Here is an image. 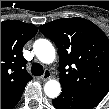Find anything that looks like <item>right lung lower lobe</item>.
Masks as SVG:
<instances>
[{
    "label": "right lung lower lobe",
    "instance_id": "98d812e1",
    "mask_svg": "<svg viewBox=\"0 0 109 109\" xmlns=\"http://www.w3.org/2000/svg\"><path fill=\"white\" fill-rule=\"evenodd\" d=\"M25 86L18 89L11 96L1 100V109H11V108H13L19 102Z\"/></svg>",
    "mask_w": 109,
    "mask_h": 109
}]
</instances>
